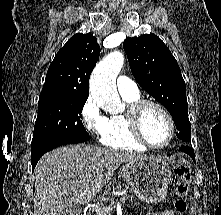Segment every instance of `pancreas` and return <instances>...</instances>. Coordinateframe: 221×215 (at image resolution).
Segmentation results:
<instances>
[{
    "label": "pancreas",
    "instance_id": "1",
    "mask_svg": "<svg viewBox=\"0 0 221 215\" xmlns=\"http://www.w3.org/2000/svg\"><path fill=\"white\" fill-rule=\"evenodd\" d=\"M117 189L119 191H122V190H125L127 192H129L128 195H126V199L127 200H130V201H135V198L133 197L132 195V192H131V189L126 186L125 184H118L117 186ZM109 201H113V198L110 196V191L108 190L106 193L102 194L100 197H99V202L97 204L96 207H94L91 212H95L96 215H99L97 212H96V208H99V207H106V203L109 202ZM107 215H110V214H107Z\"/></svg>",
    "mask_w": 221,
    "mask_h": 215
}]
</instances>
